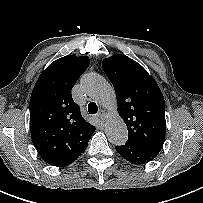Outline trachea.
Here are the masks:
<instances>
[{"label":"trachea","mask_w":203,"mask_h":203,"mask_svg":"<svg viewBox=\"0 0 203 203\" xmlns=\"http://www.w3.org/2000/svg\"><path fill=\"white\" fill-rule=\"evenodd\" d=\"M88 112L90 114H96L98 112V106L94 102L88 104Z\"/></svg>","instance_id":"1"}]
</instances>
